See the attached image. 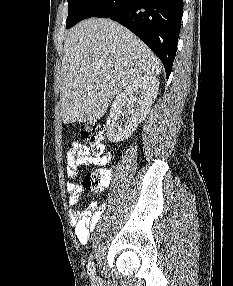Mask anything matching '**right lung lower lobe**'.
<instances>
[{
	"mask_svg": "<svg viewBox=\"0 0 233 286\" xmlns=\"http://www.w3.org/2000/svg\"><path fill=\"white\" fill-rule=\"evenodd\" d=\"M182 7L183 0H92L74 25L89 17L117 21L161 59L168 78L177 50Z\"/></svg>",
	"mask_w": 233,
	"mask_h": 286,
	"instance_id": "98d812e1",
	"label": "right lung lower lobe"
}]
</instances>
